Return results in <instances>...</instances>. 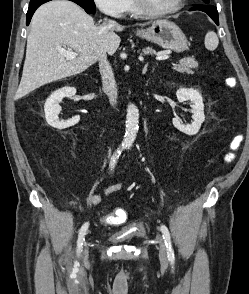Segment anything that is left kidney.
<instances>
[{
	"instance_id": "5707ae66",
	"label": "left kidney",
	"mask_w": 249,
	"mask_h": 294,
	"mask_svg": "<svg viewBox=\"0 0 249 294\" xmlns=\"http://www.w3.org/2000/svg\"><path fill=\"white\" fill-rule=\"evenodd\" d=\"M176 96L179 102L190 101L191 113L193 121L191 124H182L177 117L172 119L173 125L181 132L187 135H195L198 133L201 124L205 120L204 104L201 94L192 88H180L176 92Z\"/></svg>"
}]
</instances>
